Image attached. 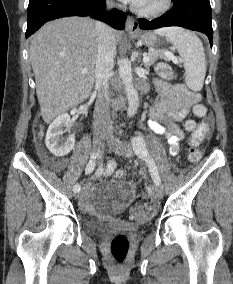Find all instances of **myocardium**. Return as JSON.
I'll list each match as a JSON object with an SVG mask.
<instances>
[{
	"instance_id": "f54148a6",
	"label": "myocardium",
	"mask_w": 233,
	"mask_h": 284,
	"mask_svg": "<svg viewBox=\"0 0 233 284\" xmlns=\"http://www.w3.org/2000/svg\"><path fill=\"white\" fill-rule=\"evenodd\" d=\"M172 5V0H162L161 3L155 7L152 8H142L138 7L136 8V12L138 15L142 17H147V18H154L158 17L165 12H167Z\"/></svg>"
}]
</instances>
